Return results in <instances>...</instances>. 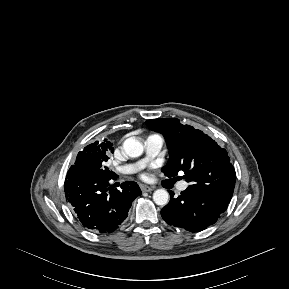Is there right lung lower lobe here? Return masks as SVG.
<instances>
[{"label":"right lung lower lobe","instance_id":"right-lung-lower-lobe-1","mask_svg":"<svg viewBox=\"0 0 289 289\" xmlns=\"http://www.w3.org/2000/svg\"><path fill=\"white\" fill-rule=\"evenodd\" d=\"M110 179L70 168L64 183L66 199L78 220L85 228L97 233L114 232L128 216L132 201L141 195L136 182L122 183L119 191L110 186Z\"/></svg>","mask_w":289,"mask_h":289}]
</instances>
